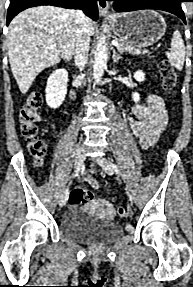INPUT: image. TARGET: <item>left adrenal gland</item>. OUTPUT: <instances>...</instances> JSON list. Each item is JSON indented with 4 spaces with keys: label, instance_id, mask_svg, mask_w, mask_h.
Returning <instances> with one entry per match:
<instances>
[{
    "label": "left adrenal gland",
    "instance_id": "obj_1",
    "mask_svg": "<svg viewBox=\"0 0 193 287\" xmlns=\"http://www.w3.org/2000/svg\"><path fill=\"white\" fill-rule=\"evenodd\" d=\"M119 59H122V57L116 53V50L113 49V55H112V60L114 63L118 62Z\"/></svg>",
    "mask_w": 193,
    "mask_h": 287
}]
</instances>
